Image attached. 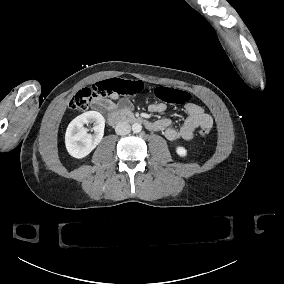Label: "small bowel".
Masks as SVG:
<instances>
[{
  "label": "small bowel",
  "mask_w": 284,
  "mask_h": 284,
  "mask_svg": "<svg viewBox=\"0 0 284 284\" xmlns=\"http://www.w3.org/2000/svg\"><path fill=\"white\" fill-rule=\"evenodd\" d=\"M99 105L106 110L121 109L130 111L133 108L129 99L119 98L117 94L111 95ZM165 110L166 105L164 103H153L149 106V111L153 113H161ZM185 112L186 118L179 128L172 126V119L170 118L148 121L146 127L153 131L163 132L168 140L175 141L179 139L191 140L197 128L206 127L210 129L213 126V118L201 106L195 103H187Z\"/></svg>",
  "instance_id": "c3829d8e"
}]
</instances>
